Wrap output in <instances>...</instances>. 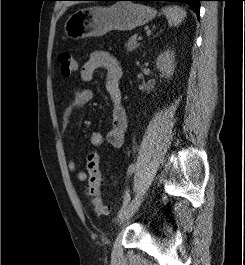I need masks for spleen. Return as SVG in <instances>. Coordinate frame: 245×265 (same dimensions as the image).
<instances>
[{"instance_id": "1", "label": "spleen", "mask_w": 245, "mask_h": 265, "mask_svg": "<svg viewBox=\"0 0 245 265\" xmlns=\"http://www.w3.org/2000/svg\"><path fill=\"white\" fill-rule=\"evenodd\" d=\"M163 13L166 15L169 25L174 26L179 25L186 17V11L178 6L165 7Z\"/></svg>"}]
</instances>
